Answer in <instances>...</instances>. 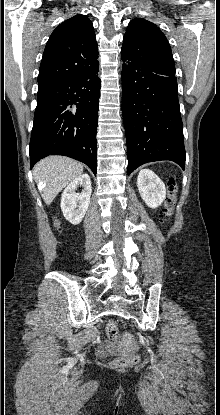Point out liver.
Listing matches in <instances>:
<instances>
[{
    "label": "liver",
    "instance_id": "6515ba94",
    "mask_svg": "<svg viewBox=\"0 0 220 415\" xmlns=\"http://www.w3.org/2000/svg\"><path fill=\"white\" fill-rule=\"evenodd\" d=\"M82 173L81 163L62 156L47 157L33 169L36 183L44 186L42 198L46 205H50L58 193Z\"/></svg>",
    "mask_w": 220,
    "mask_h": 415
}]
</instances>
